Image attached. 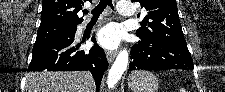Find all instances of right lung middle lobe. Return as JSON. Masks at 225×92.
Returning a JSON list of instances; mask_svg holds the SVG:
<instances>
[{
	"instance_id": "dd1d6c3e",
	"label": "right lung middle lobe",
	"mask_w": 225,
	"mask_h": 92,
	"mask_svg": "<svg viewBox=\"0 0 225 92\" xmlns=\"http://www.w3.org/2000/svg\"><path fill=\"white\" fill-rule=\"evenodd\" d=\"M76 27L73 25L52 24L40 26L34 46L46 43L69 40L75 36Z\"/></svg>"
}]
</instances>
